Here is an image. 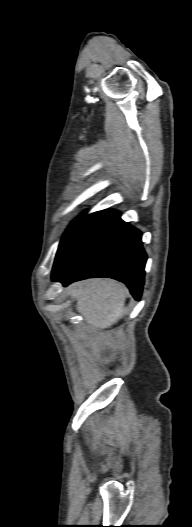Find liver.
I'll return each instance as SVG.
<instances>
[{
    "instance_id": "liver-1",
    "label": "liver",
    "mask_w": 192,
    "mask_h": 527,
    "mask_svg": "<svg viewBox=\"0 0 192 527\" xmlns=\"http://www.w3.org/2000/svg\"><path fill=\"white\" fill-rule=\"evenodd\" d=\"M127 292L124 284L112 279H91L68 287L77 311L95 329L110 328L122 318Z\"/></svg>"
}]
</instances>
